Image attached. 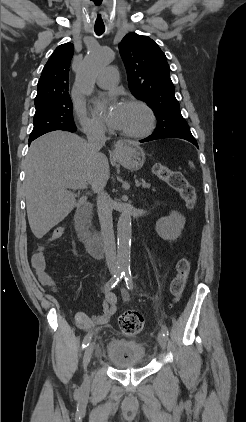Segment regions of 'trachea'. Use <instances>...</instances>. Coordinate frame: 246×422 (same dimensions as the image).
<instances>
[{
    "label": "trachea",
    "mask_w": 246,
    "mask_h": 422,
    "mask_svg": "<svg viewBox=\"0 0 246 422\" xmlns=\"http://www.w3.org/2000/svg\"><path fill=\"white\" fill-rule=\"evenodd\" d=\"M94 31H95V33H96L97 35H101V34H103V33H104V31H105V27H95V28H94Z\"/></svg>",
    "instance_id": "3493384b"
}]
</instances>
